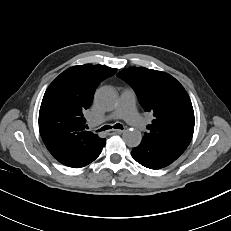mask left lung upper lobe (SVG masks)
Returning a JSON list of instances; mask_svg holds the SVG:
<instances>
[{"mask_svg":"<svg viewBox=\"0 0 231 231\" xmlns=\"http://www.w3.org/2000/svg\"><path fill=\"white\" fill-rule=\"evenodd\" d=\"M117 76L134 89L152 123L142 140L168 144L184 152L194 132V111L184 87L171 75L143 67L127 68Z\"/></svg>","mask_w":231,"mask_h":231,"instance_id":"1","label":"left lung upper lobe"}]
</instances>
